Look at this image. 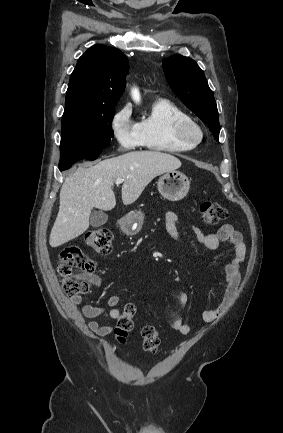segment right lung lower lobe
<instances>
[{
	"mask_svg": "<svg viewBox=\"0 0 283 433\" xmlns=\"http://www.w3.org/2000/svg\"><path fill=\"white\" fill-rule=\"evenodd\" d=\"M100 153L86 151H66L60 154L59 168L61 171L69 169L76 161L80 159L95 160Z\"/></svg>",
	"mask_w": 283,
	"mask_h": 433,
	"instance_id": "right-lung-lower-lobe-1",
	"label": "right lung lower lobe"
}]
</instances>
